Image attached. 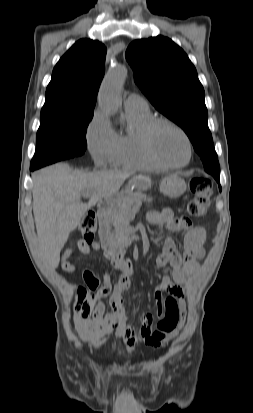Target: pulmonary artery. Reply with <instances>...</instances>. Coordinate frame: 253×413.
<instances>
[{"label":"pulmonary artery","mask_w":253,"mask_h":413,"mask_svg":"<svg viewBox=\"0 0 253 413\" xmlns=\"http://www.w3.org/2000/svg\"><path fill=\"white\" fill-rule=\"evenodd\" d=\"M125 109L147 110L148 104L144 98L137 94H130L124 103Z\"/></svg>","instance_id":"1"}]
</instances>
